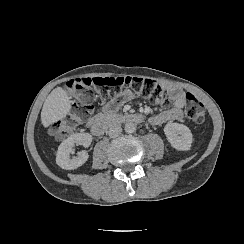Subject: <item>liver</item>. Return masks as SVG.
<instances>
[{"label":"liver","instance_id":"liver-1","mask_svg":"<svg viewBox=\"0 0 244 244\" xmlns=\"http://www.w3.org/2000/svg\"><path fill=\"white\" fill-rule=\"evenodd\" d=\"M72 100L67 91L58 86L45 99L41 110V123L44 128L64 119L71 111Z\"/></svg>","mask_w":244,"mask_h":244}]
</instances>
